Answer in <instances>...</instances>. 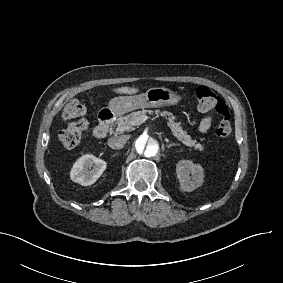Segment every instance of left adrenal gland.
I'll use <instances>...</instances> for the list:
<instances>
[{
  "mask_svg": "<svg viewBox=\"0 0 283 283\" xmlns=\"http://www.w3.org/2000/svg\"><path fill=\"white\" fill-rule=\"evenodd\" d=\"M180 144L178 143V144H176V143H171V144H167L166 145V147L167 148H170V147H172V146H179Z\"/></svg>",
  "mask_w": 283,
  "mask_h": 283,
  "instance_id": "a2214340",
  "label": "left adrenal gland"
}]
</instances>
